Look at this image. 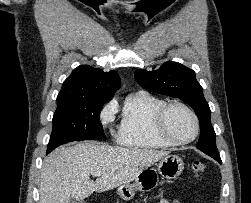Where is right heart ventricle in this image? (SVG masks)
Wrapping results in <instances>:
<instances>
[{"label":"right heart ventricle","instance_id":"obj_1","mask_svg":"<svg viewBox=\"0 0 251 203\" xmlns=\"http://www.w3.org/2000/svg\"><path fill=\"white\" fill-rule=\"evenodd\" d=\"M164 103L145 92L128 96L123 106L116 142L124 147L141 150L170 147V144L159 139L152 130L153 115Z\"/></svg>","mask_w":251,"mask_h":203}]
</instances>
